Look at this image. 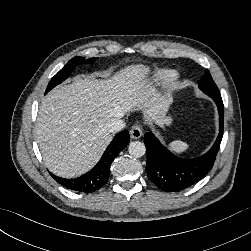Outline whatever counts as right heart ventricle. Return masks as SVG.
<instances>
[{"label":"right heart ventricle","instance_id":"right-heart-ventricle-1","mask_svg":"<svg viewBox=\"0 0 251 251\" xmlns=\"http://www.w3.org/2000/svg\"><path fill=\"white\" fill-rule=\"evenodd\" d=\"M178 74L174 70L161 69L156 71L152 76L147 78L141 85V89H147L154 86L167 85L175 81Z\"/></svg>","mask_w":251,"mask_h":251}]
</instances>
